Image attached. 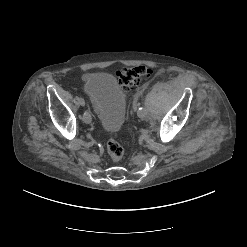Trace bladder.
<instances>
[{
    "mask_svg": "<svg viewBox=\"0 0 247 247\" xmlns=\"http://www.w3.org/2000/svg\"><path fill=\"white\" fill-rule=\"evenodd\" d=\"M85 89L91 98L102 129L116 133L123 126L127 113V97L114 76L104 72L85 78Z\"/></svg>",
    "mask_w": 247,
    "mask_h": 247,
    "instance_id": "31cf9c89",
    "label": "bladder"
}]
</instances>
